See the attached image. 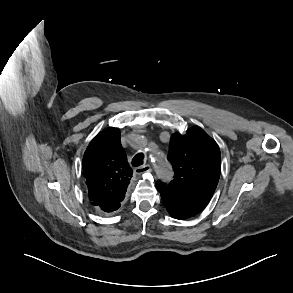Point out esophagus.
Returning <instances> with one entry per match:
<instances>
[{"label": "esophagus", "instance_id": "esophagus-1", "mask_svg": "<svg viewBox=\"0 0 293 293\" xmlns=\"http://www.w3.org/2000/svg\"><path fill=\"white\" fill-rule=\"evenodd\" d=\"M150 171H151L150 165L140 166V167L135 169V173L138 174V175H141V174H144V173H147V172H150Z\"/></svg>", "mask_w": 293, "mask_h": 293}]
</instances>
